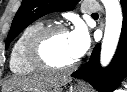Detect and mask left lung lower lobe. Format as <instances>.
<instances>
[{
    "mask_svg": "<svg viewBox=\"0 0 127 92\" xmlns=\"http://www.w3.org/2000/svg\"><path fill=\"white\" fill-rule=\"evenodd\" d=\"M123 26L116 54L107 68L99 64L100 44H97L87 63L71 74L84 79L99 92H112L127 72V0H121Z\"/></svg>",
    "mask_w": 127,
    "mask_h": 92,
    "instance_id": "obj_1",
    "label": "left lung lower lobe"
}]
</instances>
